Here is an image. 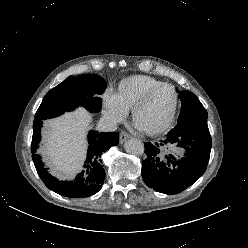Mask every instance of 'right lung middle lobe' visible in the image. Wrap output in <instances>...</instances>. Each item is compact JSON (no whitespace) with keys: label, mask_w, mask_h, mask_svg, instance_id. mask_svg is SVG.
Returning <instances> with one entry per match:
<instances>
[{"label":"right lung middle lobe","mask_w":248,"mask_h":248,"mask_svg":"<svg viewBox=\"0 0 248 248\" xmlns=\"http://www.w3.org/2000/svg\"><path fill=\"white\" fill-rule=\"evenodd\" d=\"M106 88V82L95 74L70 77L51 89L44 97L35 114V121L45 120L84 106L90 112H98L102 107L99 97Z\"/></svg>","instance_id":"1"}]
</instances>
